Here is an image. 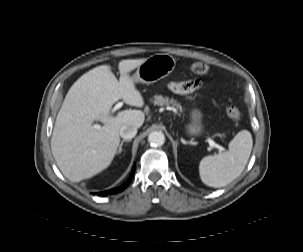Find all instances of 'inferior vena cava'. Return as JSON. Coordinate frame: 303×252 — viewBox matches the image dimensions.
<instances>
[{
    "label": "inferior vena cava",
    "instance_id": "inferior-vena-cava-1",
    "mask_svg": "<svg viewBox=\"0 0 303 252\" xmlns=\"http://www.w3.org/2000/svg\"><path fill=\"white\" fill-rule=\"evenodd\" d=\"M120 136L125 140L132 139L137 134V127L132 125H125L120 128Z\"/></svg>",
    "mask_w": 303,
    "mask_h": 252
}]
</instances>
